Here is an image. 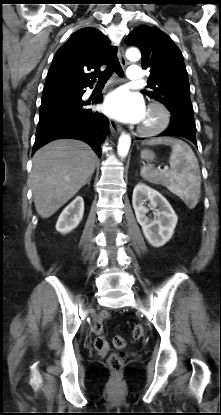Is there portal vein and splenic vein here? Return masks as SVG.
<instances>
[{
  "mask_svg": "<svg viewBox=\"0 0 221 415\" xmlns=\"http://www.w3.org/2000/svg\"><path fill=\"white\" fill-rule=\"evenodd\" d=\"M167 170H168V168H167V167H165V168H164V171H167Z\"/></svg>",
  "mask_w": 221,
  "mask_h": 415,
  "instance_id": "18ae733b",
  "label": "portal vein and splenic vein"
}]
</instances>
